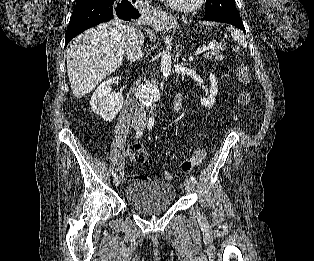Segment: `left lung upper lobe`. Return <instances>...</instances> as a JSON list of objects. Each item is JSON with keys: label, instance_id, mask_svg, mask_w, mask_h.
<instances>
[{"label": "left lung upper lobe", "instance_id": "obj_1", "mask_svg": "<svg viewBox=\"0 0 314 261\" xmlns=\"http://www.w3.org/2000/svg\"><path fill=\"white\" fill-rule=\"evenodd\" d=\"M205 16L211 18H240L234 0H206Z\"/></svg>", "mask_w": 314, "mask_h": 261}]
</instances>
